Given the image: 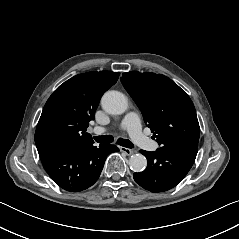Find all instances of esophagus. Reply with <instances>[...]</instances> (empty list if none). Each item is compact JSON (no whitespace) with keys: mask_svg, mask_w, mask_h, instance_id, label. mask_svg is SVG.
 Here are the masks:
<instances>
[{"mask_svg":"<svg viewBox=\"0 0 239 239\" xmlns=\"http://www.w3.org/2000/svg\"><path fill=\"white\" fill-rule=\"evenodd\" d=\"M119 149H120L121 152H124L128 156H130V155L135 153L134 150L129 149V148H125V147H120Z\"/></svg>","mask_w":239,"mask_h":239,"instance_id":"esophagus-1","label":"esophagus"}]
</instances>
